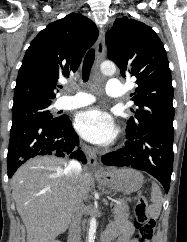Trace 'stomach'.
<instances>
[{"label": "stomach", "mask_w": 187, "mask_h": 242, "mask_svg": "<svg viewBox=\"0 0 187 242\" xmlns=\"http://www.w3.org/2000/svg\"><path fill=\"white\" fill-rule=\"evenodd\" d=\"M96 178L100 184L123 194L133 193L143 184V175L131 168L114 169Z\"/></svg>", "instance_id": "obj_1"}]
</instances>
